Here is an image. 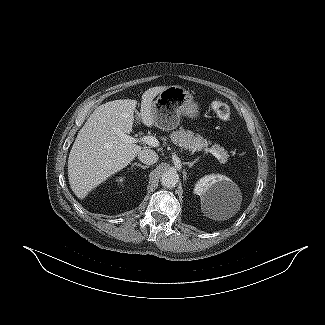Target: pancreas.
Here are the masks:
<instances>
[{
    "instance_id": "pancreas-1",
    "label": "pancreas",
    "mask_w": 325,
    "mask_h": 325,
    "mask_svg": "<svg viewBox=\"0 0 325 325\" xmlns=\"http://www.w3.org/2000/svg\"><path fill=\"white\" fill-rule=\"evenodd\" d=\"M169 137L174 144L191 152H195L196 150L208 147L209 145L207 140L204 139L201 135H195L193 132L185 131L184 129L173 131L170 133ZM212 148L217 150L220 154V158L218 160L221 163H225L229 156L227 151L219 145H213Z\"/></svg>"
}]
</instances>
